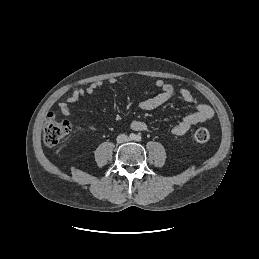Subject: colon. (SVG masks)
I'll use <instances>...</instances> for the list:
<instances>
[{
	"label": "colon",
	"mask_w": 259,
	"mask_h": 259,
	"mask_svg": "<svg viewBox=\"0 0 259 259\" xmlns=\"http://www.w3.org/2000/svg\"><path fill=\"white\" fill-rule=\"evenodd\" d=\"M71 125L67 120H57L51 113L48 115L44 131L43 139L46 145L55 146L63 142L70 133ZM193 141L195 143H205L210 138V133L205 128H199L193 133Z\"/></svg>",
	"instance_id": "5ec220e1"
}]
</instances>
